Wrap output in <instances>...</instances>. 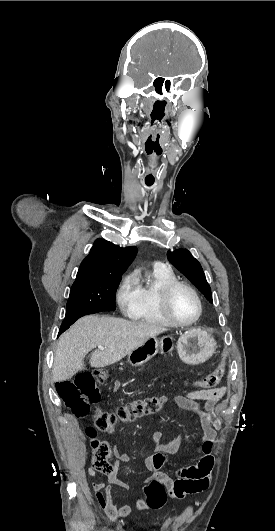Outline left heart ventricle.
I'll use <instances>...</instances> for the list:
<instances>
[{"instance_id":"left-heart-ventricle-1","label":"left heart ventricle","mask_w":275,"mask_h":531,"mask_svg":"<svg viewBox=\"0 0 275 531\" xmlns=\"http://www.w3.org/2000/svg\"><path fill=\"white\" fill-rule=\"evenodd\" d=\"M170 310L177 320L187 322L195 318L198 307L188 290L177 288L170 299Z\"/></svg>"}]
</instances>
